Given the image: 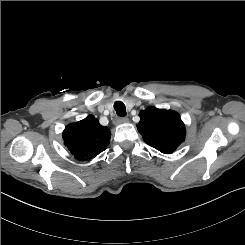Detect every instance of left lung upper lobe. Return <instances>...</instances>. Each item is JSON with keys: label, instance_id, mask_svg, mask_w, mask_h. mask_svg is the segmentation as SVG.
Instances as JSON below:
<instances>
[{"label": "left lung upper lobe", "instance_id": "left-lung-upper-lobe-1", "mask_svg": "<svg viewBox=\"0 0 245 245\" xmlns=\"http://www.w3.org/2000/svg\"><path fill=\"white\" fill-rule=\"evenodd\" d=\"M137 125L144 141L162 153L171 154L185 140V125L178 113L148 107Z\"/></svg>", "mask_w": 245, "mask_h": 245}]
</instances>
